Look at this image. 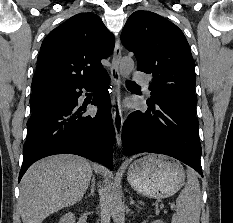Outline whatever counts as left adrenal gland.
<instances>
[{"instance_id": "obj_1", "label": "left adrenal gland", "mask_w": 233, "mask_h": 223, "mask_svg": "<svg viewBox=\"0 0 233 223\" xmlns=\"http://www.w3.org/2000/svg\"><path fill=\"white\" fill-rule=\"evenodd\" d=\"M130 203H132V205H135V207H139V205H137V203H135V201H134V199H132V197L130 199Z\"/></svg>"}]
</instances>
